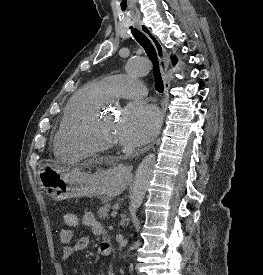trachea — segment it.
Returning <instances> with one entry per match:
<instances>
[{
    "label": "trachea",
    "mask_w": 263,
    "mask_h": 275,
    "mask_svg": "<svg viewBox=\"0 0 263 275\" xmlns=\"http://www.w3.org/2000/svg\"><path fill=\"white\" fill-rule=\"evenodd\" d=\"M130 29H131V33L133 34L136 41L144 48L145 52L147 53V56L150 58V60L153 63V75L155 78V89L159 93L163 92L164 85H163V81H162L161 74H160L158 57H157V53H156V50H155L152 42L145 34H143L138 29H135L133 27H130Z\"/></svg>",
    "instance_id": "1"
}]
</instances>
